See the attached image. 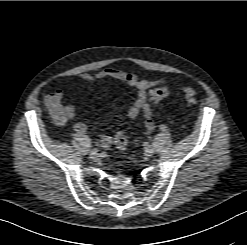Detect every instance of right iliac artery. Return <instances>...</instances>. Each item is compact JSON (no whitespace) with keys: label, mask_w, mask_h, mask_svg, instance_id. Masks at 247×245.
<instances>
[{"label":"right iliac artery","mask_w":247,"mask_h":245,"mask_svg":"<svg viewBox=\"0 0 247 245\" xmlns=\"http://www.w3.org/2000/svg\"><path fill=\"white\" fill-rule=\"evenodd\" d=\"M91 152H98L97 148H93Z\"/></svg>","instance_id":"right-iliac-artery-1"}]
</instances>
